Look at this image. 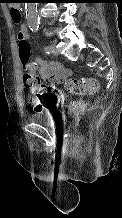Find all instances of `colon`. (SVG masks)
Instances as JSON below:
<instances>
[{
    "label": "colon",
    "instance_id": "5ec220e1",
    "mask_svg": "<svg viewBox=\"0 0 122 218\" xmlns=\"http://www.w3.org/2000/svg\"><path fill=\"white\" fill-rule=\"evenodd\" d=\"M17 3V1H16ZM11 18L16 25H21L22 13L18 6H12ZM18 49L21 65L23 68V84L26 88L31 89V91L38 97L46 96L49 94L48 86L41 82L39 77L35 72L36 66L30 60L31 45L28 39L27 32L23 31L21 28L17 34ZM65 87L68 92L77 95H91L94 94L99 87V83L95 78H80V79H69L65 82ZM85 108L83 102H72L69 105V114L71 116L79 115Z\"/></svg>",
    "mask_w": 122,
    "mask_h": 218
}]
</instances>
